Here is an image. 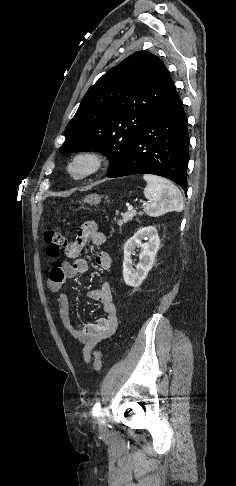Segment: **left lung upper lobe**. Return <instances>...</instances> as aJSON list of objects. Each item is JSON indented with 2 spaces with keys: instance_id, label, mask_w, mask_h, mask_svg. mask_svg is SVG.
<instances>
[{
  "instance_id": "obj_1",
  "label": "left lung upper lobe",
  "mask_w": 236,
  "mask_h": 486,
  "mask_svg": "<svg viewBox=\"0 0 236 486\" xmlns=\"http://www.w3.org/2000/svg\"><path fill=\"white\" fill-rule=\"evenodd\" d=\"M174 91L159 57L147 51L132 54L88 89L59 151H101L110 159L109 174Z\"/></svg>"
}]
</instances>
